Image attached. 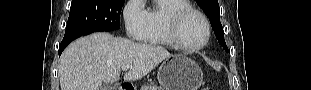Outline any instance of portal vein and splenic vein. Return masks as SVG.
Segmentation results:
<instances>
[{"instance_id":"1","label":"portal vein and splenic vein","mask_w":311,"mask_h":90,"mask_svg":"<svg viewBox=\"0 0 311 90\" xmlns=\"http://www.w3.org/2000/svg\"><path fill=\"white\" fill-rule=\"evenodd\" d=\"M121 68H122L123 71H127L130 68V66L129 65H125V66H122Z\"/></svg>"}]
</instances>
